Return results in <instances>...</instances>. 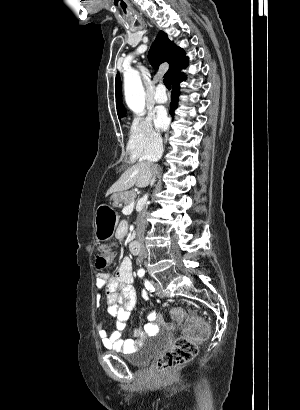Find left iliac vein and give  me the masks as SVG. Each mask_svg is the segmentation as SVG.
Instances as JSON below:
<instances>
[{
    "mask_svg": "<svg viewBox=\"0 0 300 410\" xmlns=\"http://www.w3.org/2000/svg\"><path fill=\"white\" fill-rule=\"evenodd\" d=\"M154 286H155V289H156V294L161 298L165 297V294L163 293L160 284L159 283H154Z\"/></svg>",
    "mask_w": 300,
    "mask_h": 410,
    "instance_id": "obj_1",
    "label": "left iliac vein"
}]
</instances>
